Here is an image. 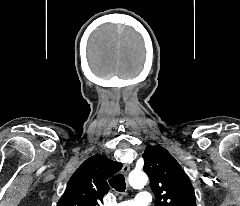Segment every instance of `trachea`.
I'll use <instances>...</instances> for the list:
<instances>
[{
	"label": "trachea",
	"mask_w": 240,
	"mask_h": 206,
	"mask_svg": "<svg viewBox=\"0 0 240 206\" xmlns=\"http://www.w3.org/2000/svg\"><path fill=\"white\" fill-rule=\"evenodd\" d=\"M109 184L116 191L123 192L126 189L124 176L121 174L115 175L109 179Z\"/></svg>",
	"instance_id": "trachea-1"
}]
</instances>
